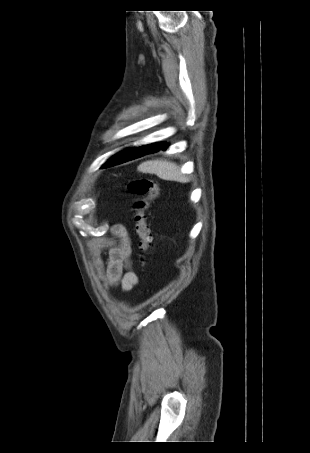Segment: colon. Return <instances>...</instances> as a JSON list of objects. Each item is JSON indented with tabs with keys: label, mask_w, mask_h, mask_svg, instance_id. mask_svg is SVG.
Segmentation results:
<instances>
[{
	"label": "colon",
	"mask_w": 310,
	"mask_h": 453,
	"mask_svg": "<svg viewBox=\"0 0 310 453\" xmlns=\"http://www.w3.org/2000/svg\"><path fill=\"white\" fill-rule=\"evenodd\" d=\"M127 189L134 197V223L135 233L139 239V249L141 251L140 260L145 262V253L152 245V235L148 224L149 211L152 203L160 196L159 187L155 182L146 178L132 179Z\"/></svg>",
	"instance_id": "obj_1"
}]
</instances>
